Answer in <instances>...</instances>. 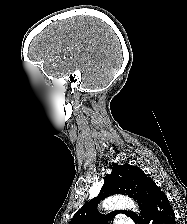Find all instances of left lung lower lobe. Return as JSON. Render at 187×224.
Returning a JSON list of instances; mask_svg holds the SVG:
<instances>
[{
  "label": "left lung lower lobe",
  "instance_id": "obj_1",
  "mask_svg": "<svg viewBox=\"0 0 187 224\" xmlns=\"http://www.w3.org/2000/svg\"><path fill=\"white\" fill-rule=\"evenodd\" d=\"M136 224H175L173 208L163 191H156L147 213Z\"/></svg>",
  "mask_w": 187,
  "mask_h": 224
}]
</instances>
